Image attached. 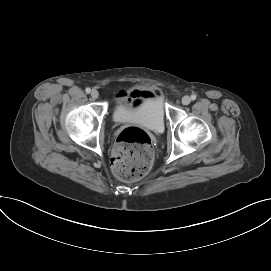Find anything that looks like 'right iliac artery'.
Here are the masks:
<instances>
[{"label": "right iliac artery", "mask_w": 271, "mask_h": 271, "mask_svg": "<svg viewBox=\"0 0 271 271\" xmlns=\"http://www.w3.org/2000/svg\"><path fill=\"white\" fill-rule=\"evenodd\" d=\"M85 91H86V93H88V94H89V93L91 92V89H90V88H86V90H85Z\"/></svg>", "instance_id": "right-iliac-artery-1"}]
</instances>
